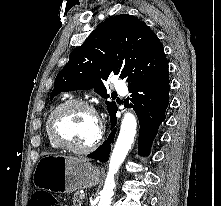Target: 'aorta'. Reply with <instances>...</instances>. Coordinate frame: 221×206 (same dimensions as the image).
I'll return each instance as SVG.
<instances>
[{
	"label": "aorta",
	"instance_id": "aorta-1",
	"mask_svg": "<svg viewBox=\"0 0 221 206\" xmlns=\"http://www.w3.org/2000/svg\"><path fill=\"white\" fill-rule=\"evenodd\" d=\"M136 127V117L130 112L125 113L121 123L118 139L109 160V169L103 190L101 191L98 206H110L111 204L115 189L114 177L134 142Z\"/></svg>",
	"mask_w": 221,
	"mask_h": 206
}]
</instances>
